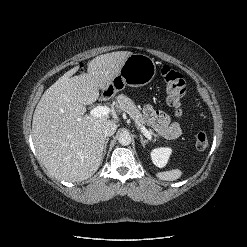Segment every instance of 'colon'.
<instances>
[{
    "instance_id": "1",
    "label": "colon",
    "mask_w": 247,
    "mask_h": 247,
    "mask_svg": "<svg viewBox=\"0 0 247 247\" xmlns=\"http://www.w3.org/2000/svg\"><path fill=\"white\" fill-rule=\"evenodd\" d=\"M161 74L165 82V92L167 103L176 110V114H182V100L186 93V82L181 73L170 66H164ZM207 133L200 129L195 136V146L198 150H204L208 146Z\"/></svg>"
}]
</instances>
